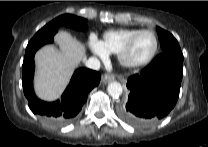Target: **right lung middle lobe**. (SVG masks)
<instances>
[{"mask_svg":"<svg viewBox=\"0 0 208 147\" xmlns=\"http://www.w3.org/2000/svg\"><path fill=\"white\" fill-rule=\"evenodd\" d=\"M86 21L87 20L85 18L77 17L71 14H64L55 18L43 28H41L32 39H39L52 34L56 32L57 29L61 26L84 31L87 29Z\"/></svg>","mask_w":208,"mask_h":147,"instance_id":"1","label":"right lung middle lobe"}]
</instances>
